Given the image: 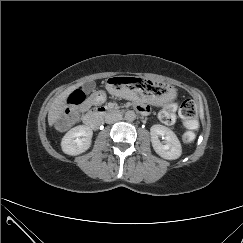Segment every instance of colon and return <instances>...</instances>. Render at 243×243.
<instances>
[{
    "label": "colon",
    "instance_id": "colon-1",
    "mask_svg": "<svg viewBox=\"0 0 243 243\" xmlns=\"http://www.w3.org/2000/svg\"><path fill=\"white\" fill-rule=\"evenodd\" d=\"M85 103V93L82 89L75 90L68 97V108L56 121V127L60 130H66L72 122L83 111ZM176 104L169 103L165 105L160 112V120L170 125L175 121ZM179 116L185 127L182 135L184 143H191L195 138V126L197 119V106L192 100H185L179 108Z\"/></svg>",
    "mask_w": 243,
    "mask_h": 243
}]
</instances>
